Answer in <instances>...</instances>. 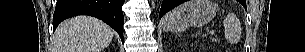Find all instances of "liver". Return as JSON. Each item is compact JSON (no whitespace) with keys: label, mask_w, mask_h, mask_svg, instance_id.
Wrapping results in <instances>:
<instances>
[{"label":"liver","mask_w":305,"mask_h":52,"mask_svg":"<svg viewBox=\"0 0 305 52\" xmlns=\"http://www.w3.org/2000/svg\"><path fill=\"white\" fill-rule=\"evenodd\" d=\"M113 30L90 16L63 21L54 37L53 52H101L113 39Z\"/></svg>","instance_id":"obj_1"}]
</instances>
